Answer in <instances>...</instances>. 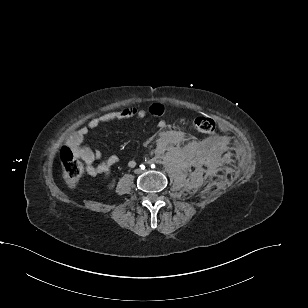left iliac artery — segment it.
<instances>
[{
    "mask_svg": "<svg viewBox=\"0 0 308 308\" xmlns=\"http://www.w3.org/2000/svg\"><path fill=\"white\" fill-rule=\"evenodd\" d=\"M151 167H155V165H151Z\"/></svg>",
    "mask_w": 308,
    "mask_h": 308,
    "instance_id": "left-iliac-artery-1",
    "label": "left iliac artery"
}]
</instances>
